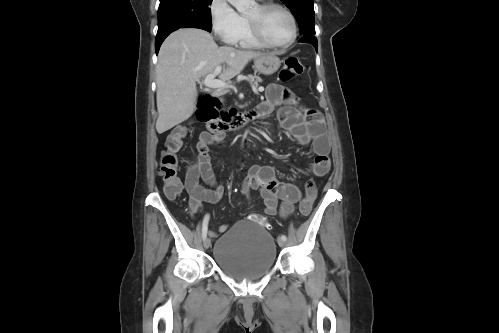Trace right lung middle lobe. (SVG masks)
<instances>
[{
  "label": "right lung middle lobe",
  "instance_id": "1",
  "mask_svg": "<svg viewBox=\"0 0 499 333\" xmlns=\"http://www.w3.org/2000/svg\"><path fill=\"white\" fill-rule=\"evenodd\" d=\"M212 0H160L158 33L175 27L203 25L211 28Z\"/></svg>",
  "mask_w": 499,
  "mask_h": 333
}]
</instances>
